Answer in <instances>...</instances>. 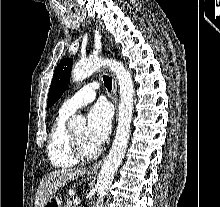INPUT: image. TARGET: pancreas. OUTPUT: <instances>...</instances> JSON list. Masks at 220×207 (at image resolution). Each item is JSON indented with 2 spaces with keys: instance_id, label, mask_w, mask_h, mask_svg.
Instances as JSON below:
<instances>
[{
  "instance_id": "cf45deb5",
  "label": "pancreas",
  "mask_w": 220,
  "mask_h": 207,
  "mask_svg": "<svg viewBox=\"0 0 220 207\" xmlns=\"http://www.w3.org/2000/svg\"><path fill=\"white\" fill-rule=\"evenodd\" d=\"M64 207H73V203L70 199L67 200L66 205Z\"/></svg>"
}]
</instances>
